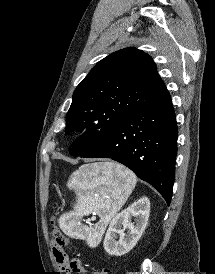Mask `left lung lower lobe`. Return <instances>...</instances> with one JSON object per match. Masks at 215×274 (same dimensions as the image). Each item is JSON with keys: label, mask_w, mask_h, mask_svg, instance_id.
I'll use <instances>...</instances> for the list:
<instances>
[{"label": "left lung lower lobe", "mask_w": 215, "mask_h": 274, "mask_svg": "<svg viewBox=\"0 0 215 274\" xmlns=\"http://www.w3.org/2000/svg\"><path fill=\"white\" fill-rule=\"evenodd\" d=\"M178 129L167 89L123 119L101 142L82 155L110 158L150 183L170 205Z\"/></svg>", "instance_id": "0a47b994"}]
</instances>
